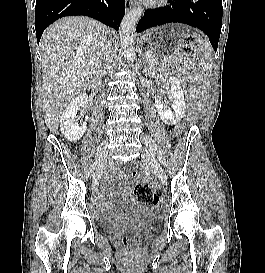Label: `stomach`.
I'll list each match as a JSON object with an SVG mask.
<instances>
[{"instance_id": "obj_1", "label": "stomach", "mask_w": 265, "mask_h": 273, "mask_svg": "<svg viewBox=\"0 0 265 273\" xmlns=\"http://www.w3.org/2000/svg\"><path fill=\"white\" fill-rule=\"evenodd\" d=\"M190 25H156V30H147L142 35L138 49H147L148 60H168V56H179L180 42L183 41Z\"/></svg>"}]
</instances>
